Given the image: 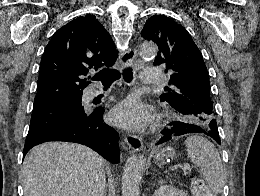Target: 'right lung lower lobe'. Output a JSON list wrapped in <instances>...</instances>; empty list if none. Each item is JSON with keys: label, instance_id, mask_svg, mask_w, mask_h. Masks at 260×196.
<instances>
[{"label": "right lung lower lobe", "instance_id": "1", "mask_svg": "<svg viewBox=\"0 0 260 196\" xmlns=\"http://www.w3.org/2000/svg\"><path fill=\"white\" fill-rule=\"evenodd\" d=\"M103 108H97L88 117L73 124L62 125L28 135L23 158L34 146L47 141H67L86 145L112 163L120 161L118 133L103 122Z\"/></svg>", "mask_w": 260, "mask_h": 196}]
</instances>
